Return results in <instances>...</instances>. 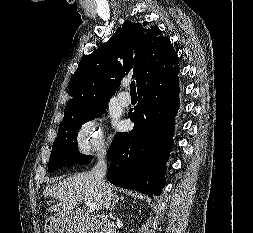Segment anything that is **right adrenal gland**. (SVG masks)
<instances>
[{"label": "right adrenal gland", "instance_id": "obj_1", "mask_svg": "<svg viewBox=\"0 0 253 233\" xmlns=\"http://www.w3.org/2000/svg\"><path fill=\"white\" fill-rule=\"evenodd\" d=\"M123 199H124V197H118V195H115L114 201H113V203H112V206H111L110 210H111V211L114 210L115 205L119 202V200H120V201H123Z\"/></svg>", "mask_w": 253, "mask_h": 233}]
</instances>
